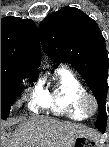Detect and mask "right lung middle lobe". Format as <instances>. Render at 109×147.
Listing matches in <instances>:
<instances>
[{
  "label": "right lung middle lobe",
  "instance_id": "1",
  "mask_svg": "<svg viewBox=\"0 0 109 147\" xmlns=\"http://www.w3.org/2000/svg\"><path fill=\"white\" fill-rule=\"evenodd\" d=\"M27 77L34 80L37 74L30 73L22 67L1 64V119L9 116L11 105L21 92L20 84Z\"/></svg>",
  "mask_w": 109,
  "mask_h": 147
}]
</instances>
